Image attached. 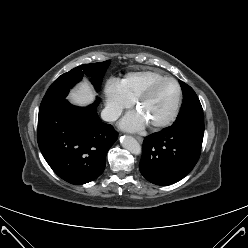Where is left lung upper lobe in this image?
I'll return each instance as SVG.
<instances>
[{
	"instance_id": "5c2ea615",
	"label": "left lung upper lobe",
	"mask_w": 248,
	"mask_h": 248,
	"mask_svg": "<svg viewBox=\"0 0 248 248\" xmlns=\"http://www.w3.org/2000/svg\"><path fill=\"white\" fill-rule=\"evenodd\" d=\"M180 85L183 91V106L179 113L177 120H188L196 116H203V109L199 98L194 90L186 83L180 81Z\"/></svg>"
}]
</instances>
